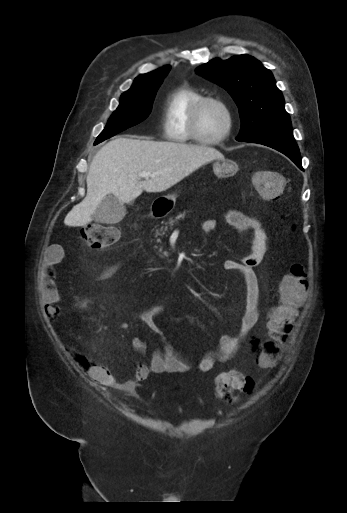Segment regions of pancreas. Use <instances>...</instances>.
<instances>
[{
  "mask_svg": "<svg viewBox=\"0 0 347 513\" xmlns=\"http://www.w3.org/2000/svg\"><path fill=\"white\" fill-rule=\"evenodd\" d=\"M186 213H179L175 217H169L168 220L165 222V226L161 227L160 232L164 234L165 231L168 230V228L174 226V224H177L179 221L183 220L185 218ZM156 235H161L159 231L156 232Z\"/></svg>",
  "mask_w": 347,
  "mask_h": 513,
  "instance_id": "1",
  "label": "pancreas"
}]
</instances>
